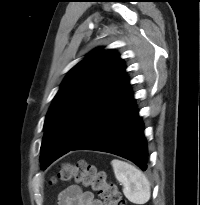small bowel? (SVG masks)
<instances>
[{"label": "small bowel", "instance_id": "small-bowel-1", "mask_svg": "<svg viewBox=\"0 0 200 205\" xmlns=\"http://www.w3.org/2000/svg\"><path fill=\"white\" fill-rule=\"evenodd\" d=\"M56 205H103L95 199L93 193L82 191L79 186L72 185L63 190L57 200Z\"/></svg>", "mask_w": 200, "mask_h": 205}]
</instances>
